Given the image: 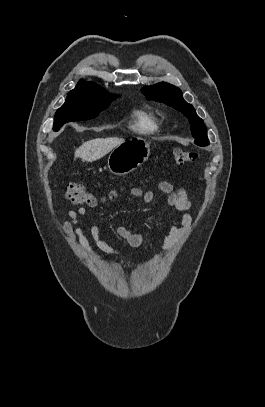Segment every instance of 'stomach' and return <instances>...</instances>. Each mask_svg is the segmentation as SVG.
Returning <instances> with one entry per match:
<instances>
[{
  "instance_id": "obj_1",
  "label": "stomach",
  "mask_w": 265,
  "mask_h": 407,
  "mask_svg": "<svg viewBox=\"0 0 265 407\" xmlns=\"http://www.w3.org/2000/svg\"><path fill=\"white\" fill-rule=\"evenodd\" d=\"M150 146L146 141L134 139L115 147L108 157L109 171L115 175H125L147 161Z\"/></svg>"
}]
</instances>
